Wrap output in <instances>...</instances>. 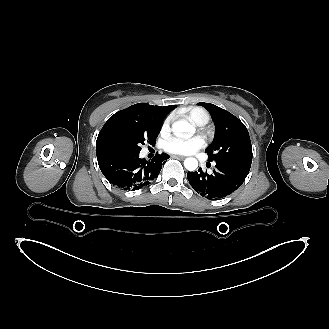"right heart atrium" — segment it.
<instances>
[{"label": "right heart atrium", "instance_id": "obj_1", "mask_svg": "<svg viewBox=\"0 0 329 329\" xmlns=\"http://www.w3.org/2000/svg\"><path fill=\"white\" fill-rule=\"evenodd\" d=\"M171 120H172V117L171 116H168L162 123V126H161V132L163 134H166L169 132L170 130V124H171Z\"/></svg>", "mask_w": 329, "mask_h": 329}]
</instances>
